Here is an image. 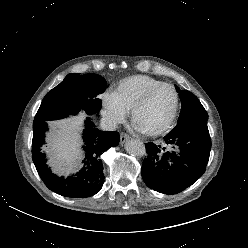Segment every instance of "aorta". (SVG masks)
Wrapping results in <instances>:
<instances>
[{
    "label": "aorta",
    "instance_id": "1",
    "mask_svg": "<svg viewBox=\"0 0 248 248\" xmlns=\"http://www.w3.org/2000/svg\"><path fill=\"white\" fill-rule=\"evenodd\" d=\"M125 149L127 153L133 156H143L145 154V145L139 139L128 140Z\"/></svg>",
    "mask_w": 248,
    "mask_h": 248
}]
</instances>
